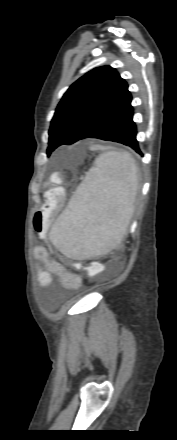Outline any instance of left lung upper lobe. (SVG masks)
I'll return each instance as SVG.
<instances>
[{
  "label": "left lung upper lobe",
  "mask_w": 177,
  "mask_h": 440,
  "mask_svg": "<svg viewBox=\"0 0 177 440\" xmlns=\"http://www.w3.org/2000/svg\"><path fill=\"white\" fill-rule=\"evenodd\" d=\"M132 97L128 84L110 66L95 68L73 83L57 106L49 130V156L72 144L125 107Z\"/></svg>",
  "instance_id": "1"
}]
</instances>
